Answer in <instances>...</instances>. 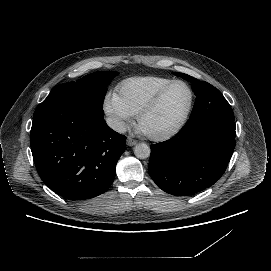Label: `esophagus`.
Listing matches in <instances>:
<instances>
[{
	"label": "esophagus",
	"instance_id": "obj_1",
	"mask_svg": "<svg viewBox=\"0 0 271 271\" xmlns=\"http://www.w3.org/2000/svg\"><path fill=\"white\" fill-rule=\"evenodd\" d=\"M136 143H137V140L132 139V138H130V137L127 138V145H128V146L132 147V146H134Z\"/></svg>",
	"mask_w": 271,
	"mask_h": 271
}]
</instances>
